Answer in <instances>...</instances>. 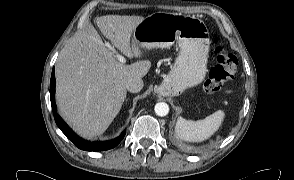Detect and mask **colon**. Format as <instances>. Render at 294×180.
I'll list each match as a JSON object with an SVG mask.
<instances>
[{
	"label": "colon",
	"mask_w": 294,
	"mask_h": 180,
	"mask_svg": "<svg viewBox=\"0 0 294 180\" xmlns=\"http://www.w3.org/2000/svg\"><path fill=\"white\" fill-rule=\"evenodd\" d=\"M217 64L208 75V79L204 84L205 91L208 94H216L221 91L223 83L227 79L235 76L237 71V58L226 52L221 46L215 47Z\"/></svg>",
	"instance_id": "obj_1"
}]
</instances>
